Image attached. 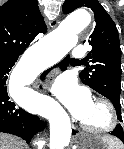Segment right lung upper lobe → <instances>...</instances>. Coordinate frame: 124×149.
Instances as JSON below:
<instances>
[{
	"label": "right lung upper lobe",
	"mask_w": 124,
	"mask_h": 149,
	"mask_svg": "<svg viewBox=\"0 0 124 149\" xmlns=\"http://www.w3.org/2000/svg\"><path fill=\"white\" fill-rule=\"evenodd\" d=\"M46 31L37 0H8L0 6V58L21 55Z\"/></svg>",
	"instance_id": "obj_1"
}]
</instances>
